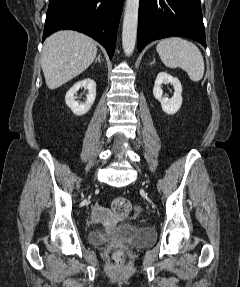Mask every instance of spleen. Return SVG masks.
<instances>
[{"mask_svg":"<svg viewBox=\"0 0 240 287\" xmlns=\"http://www.w3.org/2000/svg\"><path fill=\"white\" fill-rule=\"evenodd\" d=\"M156 50L166 67L172 69L180 67L194 82L202 79L204 60L194 43L180 37H170L161 40Z\"/></svg>","mask_w":240,"mask_h":287,"instance_id":"1","label":"spleen"}]
</instances>
